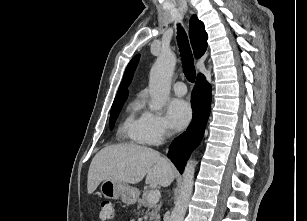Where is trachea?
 <instances>
[{"label": "trachea", "mask_w": 307, "mask_h": 221, "mask_svg": "<svg viewBox=\"0 0 307 221\" xmlns=\"http://www.w3.org/2000/svg\"><path fill=\"white\" fill-rule=\"evenodd\" d=\"M177 42L182 60L183 71L185 73L187 80L193 83L196 77L193 56L187 35L181 26L178 27Z\"/></svg>", "instance_id": "3493384b"}]
</instances>
